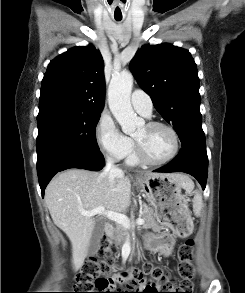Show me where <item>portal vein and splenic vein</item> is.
<instances>
[{"label":"portal vein and splenic vein","instance_id":"18ae733b","mask_svg":"<svg viewBox=\"0 0 245 293\" xmlns=\"http://www.w3.org/2000/svg\"><path fill=\"white\" fill-rule=\"evenodd\" d=\"M81 214L84 216H95L97 214L99 215H103L105 217H107L110 220L115 221L118 224H121L122 226L126 227L127 229H129L131 227V223H130V219L121 213H117V212H113V211H108L105 210V207H97L93 210L90 211H85V210H81ZM145 223L144 219L142 218H138L136 220V225H143Z\"/></svg>","mask_w":245,"mask_h":293}]
</instances>
